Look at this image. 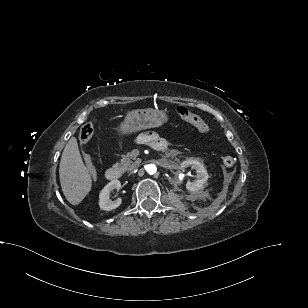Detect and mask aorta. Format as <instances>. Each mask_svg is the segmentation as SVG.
Masks as SVG:
<instances>
[{
    "label": "aorta",
    "mask_w": 308,
    "mask_h": 308,
    "mask_svg": "<svg viewBox=\"0 0 308 308\" xmlns=\"http://www.w3.org/2000/svg\"><path fill=\"white\" fill-rule=\"evenodd\" d=\"M146 171L148 172V174H155L157 171V167L154 164H149L145 167Z\"/></svg>",
    "instance_id": "obj_1"
}]
</instances>
